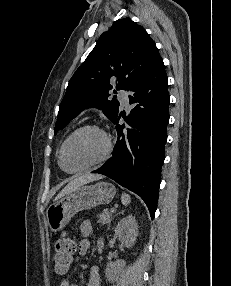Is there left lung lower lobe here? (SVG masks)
<instances>
[{"mask_svg":"<svg viewBox=\"0 0 231 286\" xmlns=\"http://www.w3.org/2000/svg\"><path fill=\"white\" fill-rule=\"evenodd\" d=\"M128 91L132 92L130 104L135 105L129 116L125 117L128 126L119 125L121 113L112 121L118 133L113 155L93 173L106 175L139 195L153 218L169 122L170 96L162 58Z\"/></svg>","mask_w":231,"mask_h":286,"instance_id":"obj_1","label":"left lung lower lobe"}]
</instances>
